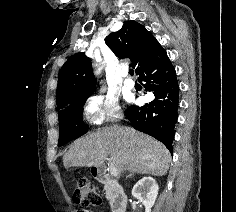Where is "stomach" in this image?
<instances>
[{
	"instance_id": "1",
	"label": "stomach",
	"mask_w": 236,
	"mask_h": 212,
	"mask_svg": "<svg viewBox=\"0 0 236 212\" xmlns=\"http://www.w3.org/2000/svg\"><path fill=\"white\" fill-rule=\"evenodd\" d=\"M93 175H97V169L93 171Z\"/></svg>"
}]
</instances>
